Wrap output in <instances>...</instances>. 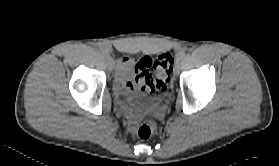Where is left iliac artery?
<instances>
[{"mask_svg": "<svg viewBox=\"0 0 279 166\" xmlns=\"http://www.w3.org/2000/svg\"><path fill=\"white\" fill-rule=\"evenodd\" d=\"M186 56V52L182 51L177 54L176 61L182 60Z\"/></svg>", "mask_w": 279, "mask_h": 166, "instance_id": "44dca946", "label": "left iliac artery"}]
</instances>
